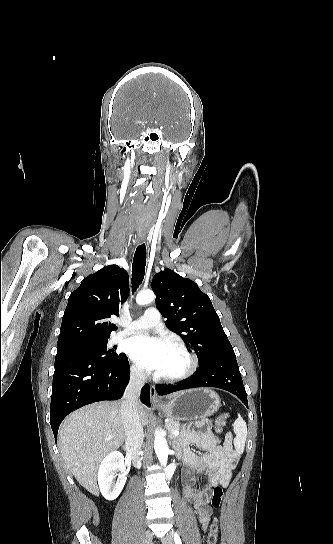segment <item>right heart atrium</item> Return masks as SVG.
I'll use <instances>...</instances> for the list:
<instances>
[{"label":"right heart atrium","mask_w":333,"mask_h":544,"mask_svg":"<svg viewBox=\"0 0 333 544\" xmlns=\"http://www.w3.org/2000/svg\"><path fill=\"white\" fill-rule=\"evenodd\" d=\"M130 370L132 375L135 376L136 378H143L145 376L143 369L136 363L131 364Z\"/></svg>","instance_id":"obj_1"}]
</instances>
